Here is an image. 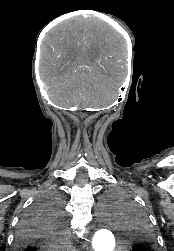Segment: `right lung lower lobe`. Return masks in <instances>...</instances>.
Segmentation results:
<instances>
[{"instance_id":"right-lung-lower-lobe-1","label":"right lung lower lobe","mask_w":174,"mask_h":251,"mask_svg":"<svg viewBox=\"0 0 174 251\" xmlns=\"http://www.w3.org/2000/svg\"><path fill=\"white\" fill-rule=\"evenodd\" d=\"M57 229L55 238L48 237L42 230L45 228ZM61 228H58L55 224L48 226L42 220H32L31 216L27 217L19 226L16 235V248L18 251H27L30 247H41L49 249L60 250V235ZM47 251V250H38Z\"/></svg>"}]
</instances>
